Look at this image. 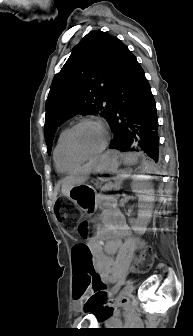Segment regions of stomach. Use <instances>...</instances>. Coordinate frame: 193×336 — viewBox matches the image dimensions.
Returning a JSON list of instances; mask_svg holds the SVG:
<instances>
[{
	"label": "stomach",
	"instance_id": "1",
	"mask_svg": "<svg viewBox=\"0 0 193 336\" xmlns=\"http://www.w3.org/2000/svg\"><path fill=\"white\" fill-rule=\"evenodd\" d=\"M118 169L117 154L107 152L100 156L99 161L93 166L92 172L99 174H114ZM69 198L85 212L93 213L98 203L96 191L86 184L74 186L69 192Z\"/></svg>",
	"mask_w": 193,
	"mask_h": 336
}]
</instances>
